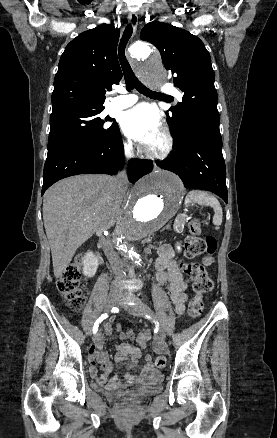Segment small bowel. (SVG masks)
Segmentation results:
<instances>
[{"mask_svg":"<svg viewBox=\"0 0 277 438\" xmlns=\"http://www.w3.org/2000/svg\"><path fill=\"white\" fill-rule=\"evenodd\" d=\"M174 257L175 250L172 246L163 245L159 249V255L156 260L157 280L160 284H168L171 300L175 306L176 313L182 315L185 312V303L187 299L185 291L188 286V280L181 273L178 262ZM102 331L107 338H110L113 335L112 328L109 325L103 326ZM123 338L126 341H133L135 340L136 335L133 332H126L124 333ZM123 338L121 337V339ZM149 338L150 332L143 331L138 336V346L121 343L118 346L116 361L121 363L124 360L129 359L131 361L130 369L134 370L138 368L137 360L141 354L140 349H144L147 346ZM97 346L100 348V343H97ZM101 350H104V347H101ZM89 359L91 362L98 360L101 363V369L103 373L100 376L97 374V370L95 368L90 370L91 374L95 376L97 383L106 389H115L119 385L116 377L111 379L107 378V374L112 369L110 361L104 355L98 353L95 349V346H93L90 350ZM139 369L141 376H145L151 382L157 381L158 373L154 368L152 356L150 354L145 356V363L140 366ZM131 377L136 380L139 379L137 374H132Z\"/></svg>","mask_w":277,"mask_h":438,"instance_id":"small-bowel-1","label":"small bowel"}]
</instances>
